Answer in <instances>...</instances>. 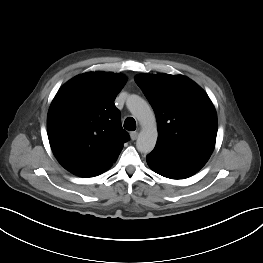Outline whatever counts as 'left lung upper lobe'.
Returning a JSON list of instances; mask_svg holds the SVG:
<instances>
[{
	"label": "left lung upper lobe",
	"instance_id": "obj_1",
	"mask_svg": "<svg viewBox=\"0 0 263 263\" xmlns=\"http://www.w3.org/2000/svg\"><path fill=\"white\" fill-rule=\"evenodd\" d=\"M158 122L156 147L172 152L211 155L217 115L204 90L182 75L141 74L135 77Z\"/></svg>",
	"mask_w": 263,
	"mask_h": 263
}]
</instances>
